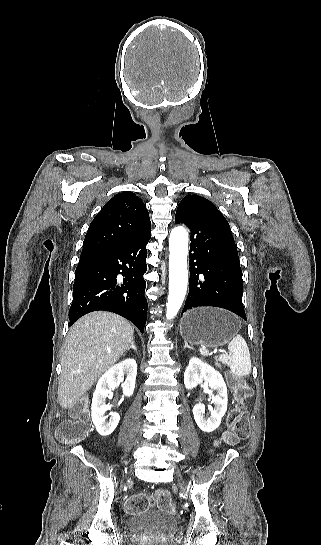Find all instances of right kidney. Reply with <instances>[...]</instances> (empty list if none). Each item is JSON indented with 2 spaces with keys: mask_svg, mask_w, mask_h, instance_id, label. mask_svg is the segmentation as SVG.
I'll return each mask as SVG.
<instances>
[{
  "mask_svg": "<svg viewBox=\"0 0 321 545\" xmlns=\"http://www.w3.org/2000/svg\"><path fill=\"white\" fill-rule=\"evenodd\" d=\"M124 375H127V379L124 385H122L123 395L131 397L134 393L137 375V365L134 359H125L122 363L111 367L109 371H106L102 375L96 385L91 405V417L96 431H98L101 437L111 435L120 421L118 413H110V419L106 421L107 417H105V413L106 411H110L112 405H105V401L111 395V391L119 387L120 383H122Z\"/></svg>",
  "mask_w": 321,
  "mask_h": 545,
  "instance_id": "obj_1",
  "label": "right kidney"
}]
</instances>
